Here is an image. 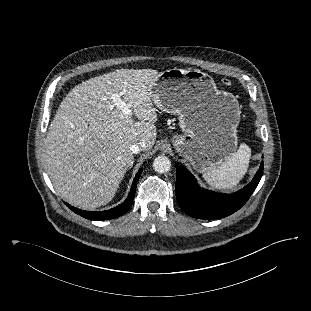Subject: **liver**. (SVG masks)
Instances as JSON below:
<instances>
[{
    "instance_id": "obj_1",
    "label": "liver",
    "mask_w": 311,
    "mask_h": 311,
    "mask_svg": "<svg viewBox=\"0 0 311 311\" xmlns=\"http://www.w3.org/2000/svg\"><path fill=\"white\" fill-rule=\"evenodd\" d=\"M153 69H117L76 85L61 102L46 138V168L71 205L93 210L109 203L133 164L130 146L156 140ZM119 94L137 121L115 105Z\"/></svg>"
}]
</instances>
